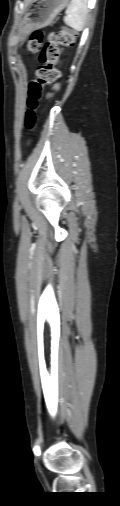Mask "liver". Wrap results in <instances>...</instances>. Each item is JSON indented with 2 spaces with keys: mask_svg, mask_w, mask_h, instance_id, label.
<instances>
[{
  "mask_svg": "<svg viewBox=\"0 0 120 506\" xmlns=\"http://www.w3.org/2000/svg\"><path fill=\"white\" fill-rule=\"evenodd\" d=\"M30 2H32V0H26V4H28V3H30Z\"/></svg>",
  "mask_w": 120,
  "mask_h": 506,
  "instance_id": "liver-1",
  "label": "liver"
}]
</instances>
